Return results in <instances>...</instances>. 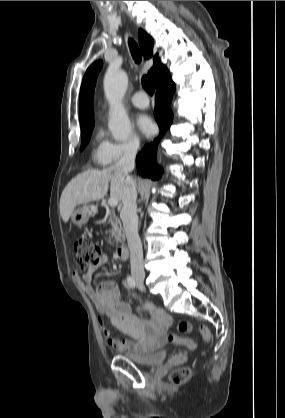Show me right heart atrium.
Returning a JSON list of instances; mask_svg holds the SVG:
<instances>
[{"label":"right heart atrium","mask_w":285,"mask_h":418,"mask_svg":"<svg viewBox=\"0 0 285 418\" xmlns=\"http://www.w3.org/2000/svg\"><path fill=\"white\" fill-rule=\"evenodd\" d=\"M140 147V140L136 135H132L122 142H112L106 150L105 164L116 165L121 161L133 158L140 151Z\"/></svg>","instance_id":"obj_1"}]
</instances>
